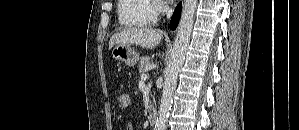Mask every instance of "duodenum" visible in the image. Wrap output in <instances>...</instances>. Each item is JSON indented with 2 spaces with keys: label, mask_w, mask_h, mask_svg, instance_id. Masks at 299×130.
Instances as JSON below:
<instances>
[{
  "label": "duodenum",
  "mask_w": 299,
  "mask_h": 130,
  "mask_svg": "<svg viewBox=\"0 0 299 130\" xmlns=\"http://www.w3.org/2000/svg\"><path fill=\"white\" fill-rule=\"evenodd\" d=\"M148 122L150 125H155L157 122V112L156 110H150L148 114Z\"/></svg>",
  "instance_id": "duodenum-1"
}]
</instances>
